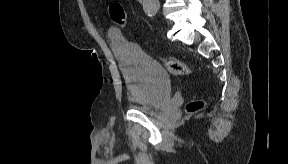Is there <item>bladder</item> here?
I'll use <instances>...</instances> for the list:
<instances>
[{
    "label": "bladder",
    "mask_w": 288,
    "mask_h": 164,
    "mask_svg": "<svg viewBox=\"0 0 288 164\" xmlns=\"http://www.w3.org/2000/svg\"><path fill=\"white\" fill-rule=\"evenodd\" d=\"M110 42L121 65L132 108L151 114L166 106L171 99V83L164 68L117 34H111Z\"/></svg>",
    "instance_id": "31cf9c89"
}]
</instances>
